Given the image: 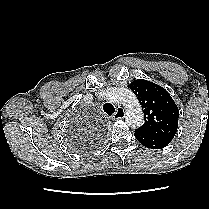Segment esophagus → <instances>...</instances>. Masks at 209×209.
I'll return each mask as SVG.
<instances>
[{"mask_svg": "<svg viewBox=\"0 0 209 209\" xmlns=\"http://www.w3.org/2000/svg\"><path fill=\"white\" fill-rule=\"evenodd\" d=\"M126 115L124 108L117 107L116 112L112 115V119H122Z\"/></svg>", "mask_w": 209, "mask_h": 209, "instance_id": "34e87169", "label": "esophagus"}]
</instances>
